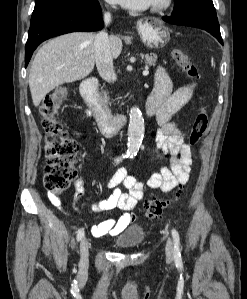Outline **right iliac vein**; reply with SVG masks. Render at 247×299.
Instances as JSON below:
<instances>
[{
  "instance_id": "1",
  "label": "right iliac vein",
  "mask_w": 247,
  "mask_h": 299,
  "mask_svg": "<svg viewBox=\"0 0 247 299\" xmlns=\"http://www.w3.org/2000/svg\"><path fill=\"white\" fill-rule=\"evenodd\" d=\"M89 242L83 238L80 242V265L81 270H84L88 264Z\"/></svg>"
}]
</instances>
